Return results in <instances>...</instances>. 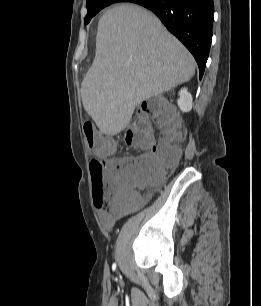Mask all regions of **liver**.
Listing matches in <instances>:
<instances>
[{
  "label": "liver",
  "mask_w": 261,
  "mask_h": 306,
  "mask_svg": "<svg viewBox=\"0 0 261 306\" xmlns=\"http://www.w3.org/2000/svg\"><path fill=\"white\" fill-rule=\"evenodd\" d=\"M194 73L192 55L155 15L118 5L99 20L95 59L81 85L83 106L102 133L116 135L137 105Z\"/></svg>",
  "instance_id": "obj_1"
}]
</instances>
